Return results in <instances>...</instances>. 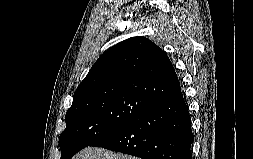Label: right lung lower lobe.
<instances>
[{"instance_id": "obj_1", "label": "right lung lower lobe", "mask_w": 253, "mask_h": 159, "mask_svg": "<svg viewBox=\"0 0 253 159\" xmlns=\"http://www.w3.org/2000/svg\"><path fill=\"white\" fill-rule=\"evenodd\" d=\"M193 140L191 118L180 89L92 146L143 159H192Z\"/></svg>"}]
</instances>
